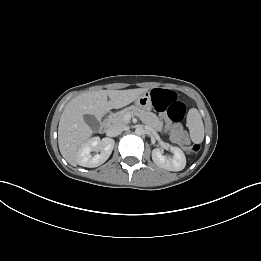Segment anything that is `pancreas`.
Returning <instances> with one entry per match:
<instances>
[{"label":"pancreas","mask_w":261,"mask_h":261,"mask_svg":"<svg viewBox=\"0 0 261 261\" xmlns=\"http://www.w3.org/2000/svg\"><path fill=\"white\" fill-rule=\"evenodd\" d=\"M126 115L138 116L147 126L153 127L156 130H161L163 123L152 112L144 111L137 106L127 107L117 113H113L108 117L109 123H128L129 120L125 119Z\"/></svg>","instance_id":"obj_1"}]
</instances>
